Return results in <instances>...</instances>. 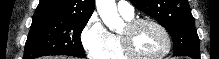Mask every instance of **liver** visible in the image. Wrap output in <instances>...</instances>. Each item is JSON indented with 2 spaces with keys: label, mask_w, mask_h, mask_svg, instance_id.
<instances>
[{
  "label": "liver",
  "mask_w": 219,
  "mask_h": 59,
  "mask_svg": "<svg viewBox=\"0 0 219 59\" xmlns=\"http://www.w3.org/2000/svg\"><path fill=\"white\" fill-rule=\"evenodd\" d=\"M42 59H71V58L64 57V56H46V57H43Z\"/></svg>",
  "instance_id": "liver-1"
}]
</instances>
